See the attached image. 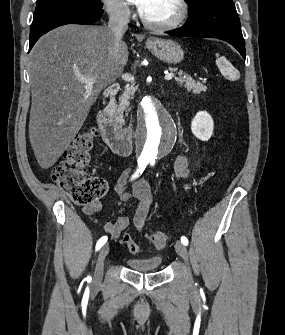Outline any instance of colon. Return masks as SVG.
I'll list each match as a JSON object with an SVG mask.
<instances>
[{"mask_svg":"<svg viewBox=\"0 0 285 335\" xmlns=\"http://www.w3.org/2000/svg\"><path fill=\"white\" fill-rule=\"evenodd\" d=\"M97 135L98 132L94 128L79 134L65 151L63 161L53 170L55 183L79 205H89L98 201L107 191V183L103 178L85 175ZM149 240L160 250L167 245L168 236L161 231H155L149 235ZM120 243L132 254L140 251L139 246L127 232L122 234Z\"/></svg>","mask_w":285,"mask_h":335,"instance_id":"1","label":"colon"}]
</instances>
